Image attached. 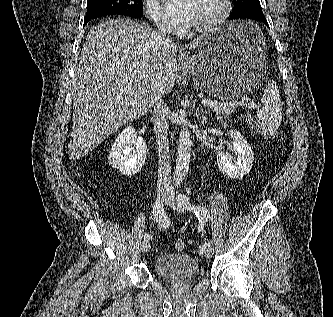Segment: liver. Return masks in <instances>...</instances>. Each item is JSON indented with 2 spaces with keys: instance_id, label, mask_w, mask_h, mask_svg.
<instances>
[{
  "instance_id": "6515ba94",
  "label": "liver",
  "mask_w": 333,
  "mask_h": 317,
  "mask_svg": "<svg viewBox=\"0 0 333 317\" xmlns=\"http://www.w3.org/2000/svg\"><path fill=\"white\" fill-rule=\"evenodd\" d=\"M205 37L189 45L197 48ZM178 47L150 26L111 19L86 37L72 83L71 160L86 156L124 124L146 114L172 91Z\"/></svg>"
}]
</instances>
